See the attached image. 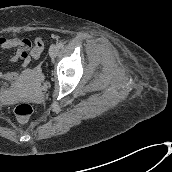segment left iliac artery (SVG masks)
Wrapping results in <instances>:
<instances>
[{
	"mask_svg": "<svg viewBox=\"0 0 172 172\" xmlns=\"http://www.w3.org/2000/svg\"><path fill=\"white\" fill-rule=\"evenodd\" d=\"M63 46H64V43H63V42H59V43H58V47H59V48H62Z\"/></svg>",
	"mask_w": 172,
	"mask_h": 172,
	"instance_id": "left-iliac-artery-1",
	"label": "left iliac artery"
}]
</instances>
